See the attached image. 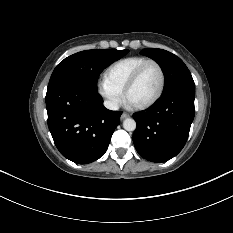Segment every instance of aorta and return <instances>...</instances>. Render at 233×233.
Masks as SVG:
<instances>
[{"mask_svg":"<svg viewBox=\"0 0 233 233\" xmlns=\"http://www.w3.org/2000/svg\"><path fill=\"white\" fill-rule=\"evenodd\" d=\"M123 128L126 131H134L136 129V122H135V120L132 119V118H126L123 121Z\"/></svg>","mask_w":233,"mask_h":233,"instance_id":"obj_1","label":"aorta"}]
</instances>
